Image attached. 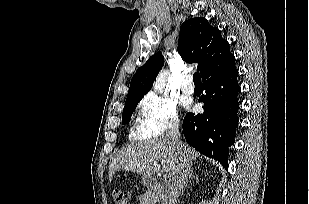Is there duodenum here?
Instances as JSON below:
<instances>
[{
	"mask_svg": "<svg viewBox=\"0 0 309 204\" xmlns=\"http://www.w3.org/2000/svg\"><path fill=\"white\" fill-rule=\"evenodd\" d=\"M148 184H149V186H151L154 190H159V188H160V184H159V182H158L156 179H153V178L149 179V180H148Z\"/></svg>",
	"mask_w": 309,
	"mask_h": 204,
	"instance_id": "duodenum-1",
	"label": "duodenum"
}]
</instances>
